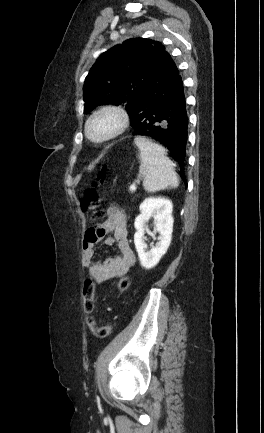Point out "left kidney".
<instances>
[{
  "label": "left kidney",
  "mask_w": 264,
  "mask_h": 433,
  "mask_svg": "<svg viewBox=\"0 0 264 433\" xmlns=\"http://www.w3.org/2000/svg\"><path fill=\"white\" fill-rule=\"evenodd\" d=\"M140 214L136 217L134 226L136 233L134 235V244L140 259V264L146 270L154 268L167 252L171 243L173 232V205L166 198H146L140 204ZM151 218L154 219L155 227L159 232V242L156 243L149 251H146L144 234L146 222Z\"/></svg>",
  "instance_id": "1"
}]
</instances>
